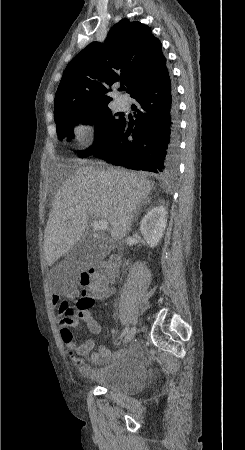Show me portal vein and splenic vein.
I'll list each match as a JSON object with an SVG mask.
<instances>
[{
	"instance_id": "1",
	"label": "portal vein and splenic vein",
	"mask_w": 245,
	"mask_h": 450,
	"mask_svg": "<svg viewBox=\"0 0 245 450\" xmlns=\"http://www.w3.org/2000/svg\"><path fill=\"white\" fill-rule=\"evenodd\" d=\"M108 226H109V223L107 222V220H104V219L95 221L93 223V227L96 230H106L108 228Z\"/></svg>"
}]
</instances>
